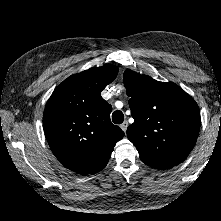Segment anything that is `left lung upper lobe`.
I'll list each match as a JSON object with an SVG mask.
<instances>
[{"mask_svg": "<svg viewBox=\"0 0 221 221\" xmlns=\"http://www.w3.org/2000/svg\"><path fill=\"white\" fill-rule=\"evenodd\" d=\"M134 123L127 137L148 166L168 169L186 159L200 128L195 100L172 82H159L130 69L124 72Z\"/></svg>", "mask_w": 221, "mask_h": 221, "instance_id": "obj_1", "label": "left lung upper lobe"}]
</instances>
